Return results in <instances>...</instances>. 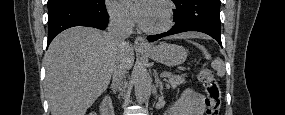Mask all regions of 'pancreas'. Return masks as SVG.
Wrapping results in <instances>:
<instances>
[{
    "label": "pancreas",
    "instance_id": "cf45deb5",
    "mask_svg": "<svg viewBox=\"0 0 285 115\" xmlns=\"http://www.w3.org/2000/svg\"><path fill=\"white\" fill-rule=\"evenodd\" d=\"M185 74L184 75H177V76H169L168 80H165L167 88H177L179 85L185 83Z\"/></svg>",
    "mask_w": 285,
    "mask_h": 115
}]
</instances>
